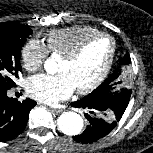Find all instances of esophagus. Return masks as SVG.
<instances>
[{"instance_id": "esophagus-1", "label": "esophagus", "mask_w": 153, "mask_h": 153, "mask_svg": "<svg viewBox=\"0 0 153 153\" xmlns=\"http://www.w3.org/2000/svg\"><path fill=\"white\" fill-rule=\"evenodd\" d=\"M51 111L55 114H60L63 112V109H52Z\"/></svg>"}]
</instances>
